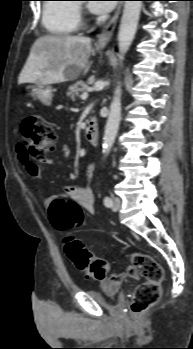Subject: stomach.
Instances as JSON below:
<instances>
[{
  "label": "stomach",
  "instance_id": "obj_1",
  "mask_svg": "<svg viewBox=\"0 0 193 349\" xmlns=\"http://www.w3.org/2000/svg\"><path fill=\"white\" fill-rule=\"evenodd\" d=\"M29 96L39 99L43 104L50 105L52 102V87L45 84H30L25 87Z\"/></svg>",
  "mask_w": 193,
  "mask_h": 349
}]
</instances>
